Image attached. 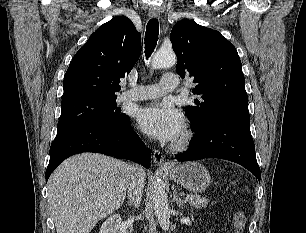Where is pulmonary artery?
<instances>
[{
    "instance_id": "obj_1",
    "label": "pulmonary artery",
    "mask_w": 306,
    "mask_h": 233,
    "mask_svg": "<svg viewBox=\"0 0 306 233\" xmlns=\"http://www.w3.org/2000/svg\"><path fill=\"white\" fill-rule=\"evenodd\" d=\"M178 86L179 79L176 75H165L158 84L139 86L136 89L123 92L120 96V100L141 101L154 99L176 90Z\"/></svg>"
}]
</instances>
